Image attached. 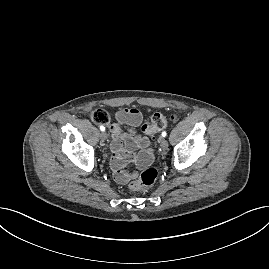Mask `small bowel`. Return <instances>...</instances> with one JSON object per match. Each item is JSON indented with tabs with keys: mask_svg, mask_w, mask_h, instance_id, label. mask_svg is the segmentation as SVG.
<instances>
[{
	"mask_svg": "<svg viewBox=\"0 0 269 269\" xmlns=\"http://www.w3.org/2000/svg\"><path fill=\"white\" fill-rule=\"evenodd\" d=\"M141 112L136 108H123L116 112V122L110 126L111 130V167L114 178L120 184H126L137 177L136 171L126 170L128 163L133 162L137 168L149 166L153 161V151L147 137L137 133V128L142 123ZM128 127L127 131L123 126ZM137 149L141 151L134 155Z\"/></svg>",
	"mask_w": 269,
	"mask_h": 269,
	"instance_id": "small-bowel-1",
	"label": "small bowel"
}]
</instances>
